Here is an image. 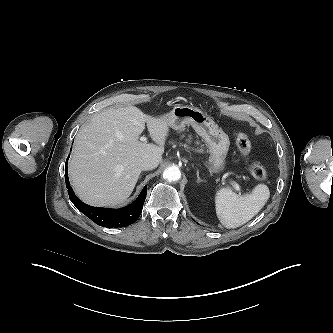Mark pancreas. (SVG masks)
<instances>
[{
    "mask_svg": "<svg viewBox=\"0 0 333 333\" xmlns=\"http://www.w3.org/2000/svg\"><path fill=\"white\" fill-rule=\"evenodd\" d=\"M183 137V136H182ZM192 136L191 135H189L188 136V139H186V141L188 142V143H191L192 142ZM196 144H199V142H196Z\"/></svg>",
    "mask_w": 333,
    "mask_h": 333,
    "instance_id": "1",
    "label": "pancreas"
}]
</instances>
